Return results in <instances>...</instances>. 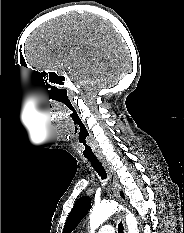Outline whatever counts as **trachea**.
<instances>
[{
  "label": "trachea",
  "mask_w": 184,
  "mask_h": 233,
  "mask_svg": "<svg viewBox=\"0 0 184 233\" xmlns=\"http://www.w3.org/2000/svg\"><path fill=\"white\" fill-rule=\"evenodd\" d=\"M78 141L81 146V150L84 157L91 163L92 167L101 177V179L102 180L106 179L107 173L104 167L102 166L101 162L98 160L97 156L95 155V151L93 147L89 143V132L84 125H81L79 128ZM118 233H124L122 222L118 224Z\"/></svg>",
  "instance_id": "1"
}]
</instances>
